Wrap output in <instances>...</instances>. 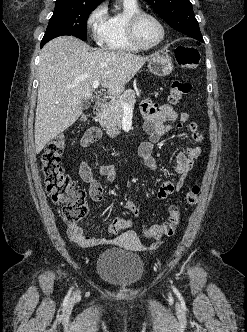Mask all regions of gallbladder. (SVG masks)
Listing matches in <instances>:
<instances>
[{
	"mask_svg": "<svg viewBox=\"0 0 247 332\" xmlns=\"http://www.w3.org/2000/svg\"><path fill=\"white\" fill-rule=\"evenodd\" d=\"M89 107H90V103L89 102H87V101L83 102V108L84 109H88Z\"/></svg>",
	"mask_w": 247,
	"mask_h": 332,
	"instance_id": "obj_1",
	"label": "gallbladder"
}]
</instances>
